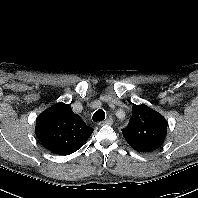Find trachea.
I'll return each mask as SVG.
<instances>
[{
    "label": "trachea",
    "mask_w": 198,
    "mask_h": 198,
    "mask_svg": "<svg viewBox=\"0 0 198 198\" xmlns=\"http://www.w3.org/2000/svg\"><path fill=\"white\" fill-rule=\"evenodd\" d=\"M93 121H103L105 119V112L103 110H97L92 117Z\"/></svg>",
    "instance_id": "trachea-1"
}]
</instances>
